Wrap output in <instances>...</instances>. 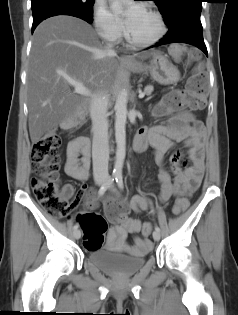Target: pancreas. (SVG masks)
Wrapping results in <instances>:
<instances>
[{
	"instance_id": "cf45deb5",
	"label": "pancreas",
	"mask_w": 238,
	"mask_h": 315,
	"mask_svg": "<svg viewBox=\"0 0 238 315\" xmlns=\"http://www.w3.org/2000/svg\"><path fill=\"white\" fill-rule=\"evenodd\" d=\"M154 87L153 85H147L144 89V94L146 95H151V93L153 92Z\"/></svg>"
}]
</instances>
